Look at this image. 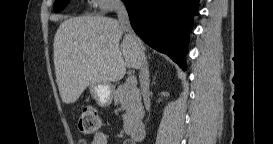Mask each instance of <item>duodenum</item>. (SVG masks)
<instances>
[{
    "instance_id": "1",
    "label": "duodenum",
    "mask_w": 273,
    "mask_h": 144,
    "mask_svg": "<svg viewBox=\"0 0 273 144\" xmlns=\"http://www.w3.org/2000/svg\"><path fill=\"white\" fill-rule=\"evenodd\" d=\"M128 133L132 140L135 142H140L145 138L146 130L143 124L138 123L128 127Z\"/></svg>"
}]
</instances>
